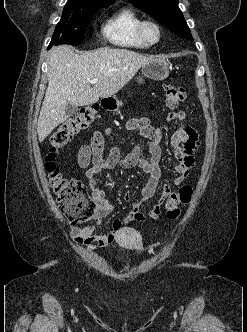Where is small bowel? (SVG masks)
<instances>
[{
  "instance_id": "1",
  "label": "small bowel",
  "mask_w": 247,
  "mask_h": 332,
  "mask_svg": "<svg viewBox=\"0 0 247 332\" xmlns=\"http://www.w3.org/2000/svg\"><path fill=\"white\" fill-rule=\"evenodd\" d=\"M186 117L184 111L168 113L166 119L183 121ZM128 130H138L141 137L147 139L146 147L150 154L149 159L142 157L141 148L136 145L133 150L123 154L121 150L114 146L110 149L107 156H104V138L100 132H95L92 136L90 145H83L78 154L79 165L86 169L85 177L88 188L96 205V221L109 216L113 211V205L105 200L104 190L98 188L95 176L104 170H110L116 166L122 168H132L139 166L148 174V180L142 188L143 200L151 199L158 188L162 174L160 159L162 132L154 127L147 117L131 119L127 122ZM171 145L177 160L175 172L177 177L174 179L176 186H181L187 179L190 169L194 165V155L200 147L198 133L191 126H180L171 138ZM90 164H92L90 166ZM171 193L169 185H164L157 203L148 212L147 217L158 220L162 213V205L165 204ZM129 193L124 194L125 199H129ZM145 215L141 212L140 202H133L129 213L123 219L125 224L132 221H143ZM119 230L112 229L107 233L96 234L95 226L86 228L71 227L70 234L79 244L87 246L103 247L114 242Z\"/></svg>"
}]
</instances>
